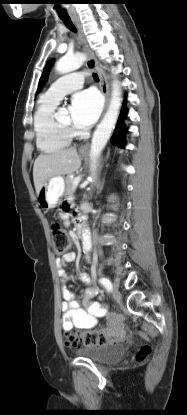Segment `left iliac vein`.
I'll return each instance as SVG.
<instances>
[{"mask_svg": "<svg viewBox=\"0 0 187 415\" xmlns=\"http://www.w3.org/2000/svg\"><path fill=\"white\" fill-rule=\"evenodd\" d=\"M112 297L116 302H120L122 299V295L119 291V288L116 285H114L112 289Z\"/></svg>", "mask_w": 187, "mask_h": 415, "instance_id": "1", "label": "left iliac vein"}]
</instances>
